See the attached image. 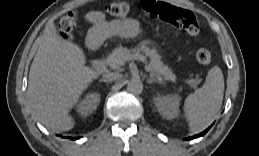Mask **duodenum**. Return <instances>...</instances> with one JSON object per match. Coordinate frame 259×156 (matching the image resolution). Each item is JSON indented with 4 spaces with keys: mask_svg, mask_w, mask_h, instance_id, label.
Wrapping results in <instances>:
<instances>
[{
    "mask_svg": "<svg viewBox=\"0 0 259 156\" xmlns=\"http://www.w3.org/2000/svg\"><path fill=\"white\" fill-rule=\"evenodd\" d=\"M92 66L97 70H102L105 67L104 59H95L92 61Z\"/></svg>",
    "mask_w": 259,
    "mask_h": 156,
    "instance_id": "1",
    "label": "duodenum"
}]
</instances>
